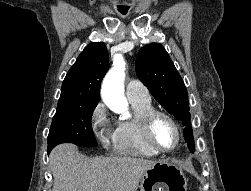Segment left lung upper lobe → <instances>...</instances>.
I'll return each instance as SVG.
<instances>
[{
    "mask_svg": "<svg viewBox=\"0 0 251 191\" xmlns=\"http://www.w3.org/2000/svg\"><path fill=\"white\" fill-rule=\"evenodd\" d=\"M136 74L154 98L173 116L183 121L184 139L194 152V139L190 123L188 93L172 60L162 45L151 43L138 53Z\"/></svg>",
    "mask_w": 251,
    "mask_h": 191,
    "instance_id": "obj_1",
    "label": "left lung upper lobe"
}]
</instances>
